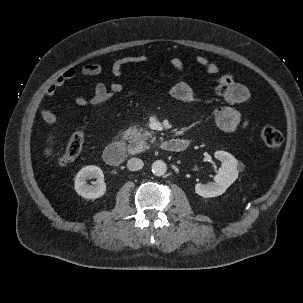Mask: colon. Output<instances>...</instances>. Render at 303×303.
Wrapping results in <instances>:
<instances>
[{
	"label": "colon",
	"mask_w": 303,
	"mask_h": 303,
	"mask_svg": "<svg viewBox=\"0 0 303 303\" xmlns=\"http://www.w3.org/2000/svg\"><path fill=\"white\" fill-rule=\"evenodd\" d=\"M113 94L105 93L100 98L90 101V106H100L110 99ZM259 135L264 144L271 150H277L283 143L282 133L272 127L263 126L259 130ZM85 140V131L77 129L68 140L65 150L59 155L58 162L60 165H67L74 161L82 151Z\"/></svg>",
	"instance_id": "5ec220e1"
}]
</instances>
